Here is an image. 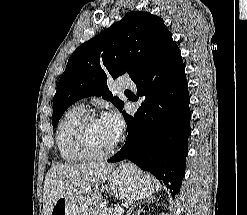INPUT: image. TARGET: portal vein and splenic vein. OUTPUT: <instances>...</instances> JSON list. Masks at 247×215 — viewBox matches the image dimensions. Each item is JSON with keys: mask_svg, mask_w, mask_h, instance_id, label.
I'll return each mask as SVG.
<instances>
[{"mask_svg": "<svg viewBox=\"0 0 247 215\" xmlns=\"http://www.w3.org/2000/svg\"><path fill=\"white\" fill-rule=\"evenodd\" d=\"M116 212L118 215H122L124 213V209L123 208H117Z\"/></svg>", "mask_w": 247, "mask_h": 215, "instance_id": "1", "label": "portal vein and splenic vein"}]
</instances>
